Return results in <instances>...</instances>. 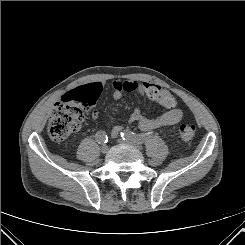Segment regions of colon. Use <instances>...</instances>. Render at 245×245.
<instances>
[{
	"instance_id": "obj_1",
	"label": "colon",
	"mask_w": 245,
	"mask_h": 245,
	"mask_svg": "<svg viewBox=\"0 0 245 245\" xmlns=\"http://www.w3.org/2000/svg\"><path fill=\"white\" fill-rule=\"evenodd\" d=\"M100 93L101 85L98 83L80 86L67 92L51 112L48 123L51 139L63 141L79 130L84 112L96 103ZM195 132V126L190 123H183L179 127V134L183 140H191Z\"/></svg>"
}]
</instances>
